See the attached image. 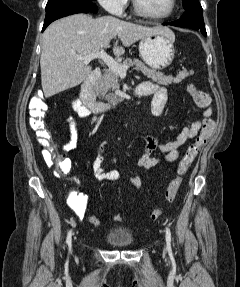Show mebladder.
Returning a JSON list of instances; mask_svg holds the SVG:
<instances>
[{
  "mask_svg": "<svg viewBox=\"0 0 240 287\" xmlns=\"http://www.w3.org/2000/svg\"><path fill=\"white\" fill-rule=\"evenodd\" d=\"M106 241L114 247H128L134 244L132 234L124 227L110 230L106 235Z\"/></svg>",
  "mask_w": 240,
  "mask_h": 287,
  "instance_id": "bladder-1",
  "label": "bladder"
}]
</instances>
